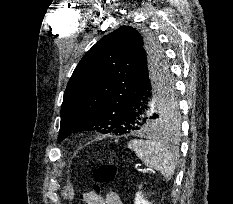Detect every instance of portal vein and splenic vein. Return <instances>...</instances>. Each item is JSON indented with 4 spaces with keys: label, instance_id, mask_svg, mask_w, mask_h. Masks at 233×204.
<instances>
[{
    "label": "portal vein and splenic vein",
    "instance_id": "portal-vein-and-splenic-vein-1",
    "mask_svg": "<svg viewBox=\"0 0 233 204\" xmlns=\"http://www.w3.org/2000/svg\"><path fill=\"white\" fill-rule=\"evenodd\" d=\"M140 170H141V171H148L147 168H143V167H142Z\"/></svg>",
    "mask_w": 233,
    "mask_h": 204
}]
</instances>
